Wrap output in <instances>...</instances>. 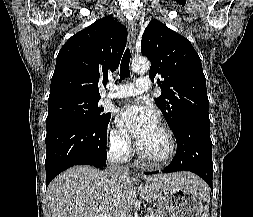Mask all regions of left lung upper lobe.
Returning <instances> with one entry per match:
<instances>
[{
	"label": "left lung upper lobe",
	"mask_w": 253,
	"mask_h": 217,
	"mask_svg": "<svg viewBox=\"0 0 253 217\" xmlns=\"http://www.w3.org/2000/svg\"><path fill=\"white\" fill-rule=\"evenodd\" d=\"M141 53L151 61L152 81L160 77L162 94L155 103L173 133L187 122L210 125L206 79L189 40L153 19L144 30Z\"/></svg>",
	"instance_id": "1"
}]
</instances>
